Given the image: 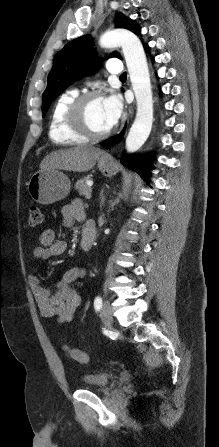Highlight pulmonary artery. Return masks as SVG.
I'll use <instances>...</instances> for the list:
<instances>
[{
    "label": "pulmonary artery",
    "instance_id": "e3ab8cb5",
    "mask_svg": "<svg viewBox=\"0 0 219 447\" xmlns=\"http://www.w3.org/2000/svg\"><path fill=\"white\" fill-rule=\"evenodd\" d=\"M107 70L110 75H120L122 73V64L119 59H109L107 61Z\"/></svg>",
    "mask_w": 219,
    "mask_h": 447
}]
</instances>
